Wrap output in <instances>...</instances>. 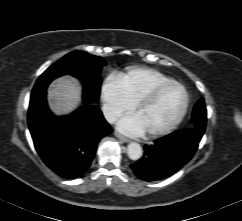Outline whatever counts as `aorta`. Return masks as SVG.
I'll return each instance as SVG.
<instances>
[{
  "label": "aorta",
  "mask_w": 242,
  "mask_h": 221,
  "mask_svg": "<svg viewBox=\"0 0 242 221\" xmlns=\"http://www.w3.org/2000/svg\"><path fill=\"white\" fill-rule=\"evenodd\" d=\"M143 150L140 144L131 142L127 147V155L131 160H138L142 157Z\"/></svg>",
  "instance_id": "1"
}]
</instances>
